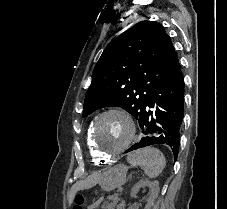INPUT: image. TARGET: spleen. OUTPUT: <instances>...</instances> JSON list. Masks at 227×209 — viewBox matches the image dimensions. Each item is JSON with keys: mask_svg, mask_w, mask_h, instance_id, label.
Returning a JSON list of instances; mask_svg holds the SVG:
<instances>
[{"mask_svg": "<svg viewBox=\"0 0 227 209\" xmlns=\"http://www.w3.org/2000/svg\"><path fill=\"white\" fill-rule=\"evenodd\" d=\"M127 161L132 167H141L149 179L158 177L166 165L163 153L159 149H153V147L133 151L128 155Z\"/></svg>", "mask_w": 227, "mask_h": 209, "instance_id": "3e777b00", "label": "spleen"}]
</instances>
